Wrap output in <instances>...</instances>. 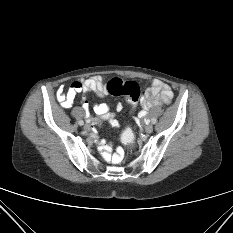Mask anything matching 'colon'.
I'll return each instance as SVG.
<instances>
[{
  "label": "colon",
  "instance_id": "colon-1",
  "mask_svg": "<svg viewBox=\"0 0 233 233\" xmlns=\"http://www.w3.org/2000/svg\"><path fill=\"white\" fill-rule=\"evenodd\" d=\"M109 93L114 96H125L130 111H133L141 96V89L134 81H124L119 78H113L107 83ZM122 141L127 145L134 143V133L130 127H125L121 134Z\"/></svg>",
  "mask_w": 233,
  "mask_h": 233
}]
</instances>
